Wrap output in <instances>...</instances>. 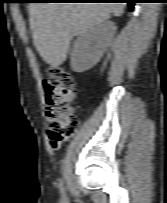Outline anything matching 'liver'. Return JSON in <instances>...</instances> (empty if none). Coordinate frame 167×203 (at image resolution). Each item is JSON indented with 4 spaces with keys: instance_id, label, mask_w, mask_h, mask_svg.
Segmentation results:
<instances>
[{
    "instance_id": "6515ba94",
    "label": "liver",
    "mask_w": 167,
    "mask_h": 203,
    "mask_svg": "<svg viewBox=\"0 0 167 203\" xmlns=\"http://www.w3.org/2000/svg\"><path fill=\"white\" fill-rule=\"evenodd\" d=\"M122 3H30L33 42L42 59L53 67L67 58L72 38L123 14Z\"/></svg>"
}]
</instances>
